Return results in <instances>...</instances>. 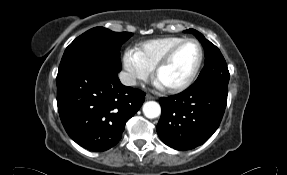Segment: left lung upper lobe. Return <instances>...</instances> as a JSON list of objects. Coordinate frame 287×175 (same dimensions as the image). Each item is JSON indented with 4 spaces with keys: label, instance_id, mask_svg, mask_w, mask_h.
<instances>
[{
    "label": "left lung upper lobe",
    "instance_id": "obj_1",
    "mask_svg": "<svg viewBox=\"0 0 287 175\" xmlns=\"http://www.w3.org/2000/svg\"><path fill=\"white\" fill-rule=\"evenodd\" d=\"M185 32L193 33L202 43L205 51V66L191 88H198L205 85H221L228 87L229 71L224 57L220 50L208 41L201 33L194 29Z\"/></svg>",
    "mask_w": 287,
    "mask_h": 175
}]
</instances>
